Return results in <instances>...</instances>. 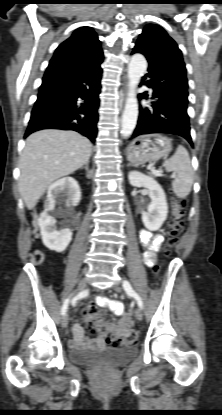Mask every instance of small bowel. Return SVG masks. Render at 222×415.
<instances>
[{
    "mask_svg": "<svg viewBox=\"0 0 222 415\" xmlns=\"http://www.w3.org/2000/svg\"><path fill=\"white\" fill-rule=\"evenodd\" d=\"M163 241L162 234H153L149 231H143L140 235V242L144 248V259L148 266H152L155 263L156 252L159 249ZM99 303L101 305H108L110 309L117 315L121 316L120 323L127 322L128 318L123 315V306L119 301L109 300L107 298H100ZM73 341L74 346H102L104 345V337L99 335L96 339L88 341L84 338V331L80 324L76 323L73 326Z\"/></svg>",
    "mask_w": 222,
    "mask_h": 415,
    "instance_id": "1",
    "label": "small bowel"
}]
</instances>
